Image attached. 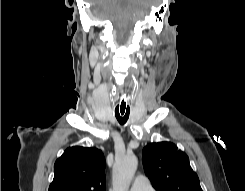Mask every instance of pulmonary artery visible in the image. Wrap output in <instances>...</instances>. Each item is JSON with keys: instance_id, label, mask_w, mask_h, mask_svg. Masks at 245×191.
I'll return each instance as SVG.
<instances>
[{"instance_id": "e3ab8cb5", "label": "pulmonary artery", "mask_w": 245, "mask_h": 191, "mask_svg": "<svg viewBox=\"0 0 245 191\" xmlns=\"http://www.w3.org/2000/svg\"><path fill=\"white\" fill-rule=\"evenodd\" d=\"M130 191H154V188L146 177L137 176L130 188Z\"/></svg>"}]
</instances>
